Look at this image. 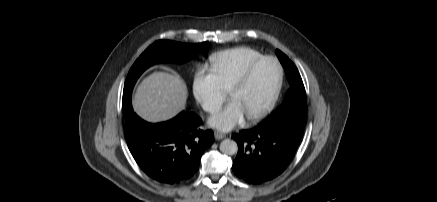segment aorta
I'll use <instances>...</instances> for the list:
<instances>
[{"label":"aorta","mask_w":437,"mask_h":202,"mask_svg":"<svg viewBox=\"0 0 437 202\" xmlns=\"http://www.w3.org/2000/svg\"><path fill=\"white\" fill-rule=\"evenodd\" d=\"M220 151L226 155H234L238 151L237 143L231 139H225L220 143Z\"/></svg>","instance_id":"obj_1"}]
</instances>
